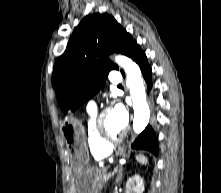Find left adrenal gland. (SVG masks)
<instances>
[{"label": "left adrenal gland", "mask_w": 221, "mask_h": 193, "mask_svg": "<svg viewBox=\"0 0 221 193\" xmlns=\"http://www.w3.org/2000/svg\"><path fill=\"white\" fill-rule=\"evenodd\" d=\"M122 177H123V167H120L119 170H117L115 183L118 184L121 181Z\"/></svg>", "instance_id": "obj_1"}]
</instances>
